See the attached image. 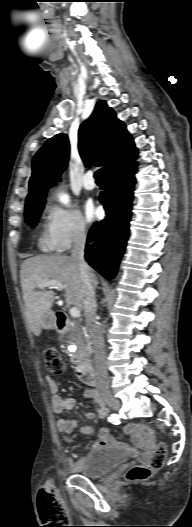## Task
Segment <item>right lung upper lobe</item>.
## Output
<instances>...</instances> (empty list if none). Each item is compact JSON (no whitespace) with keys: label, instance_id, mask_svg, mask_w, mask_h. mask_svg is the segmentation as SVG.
I'll return each instance as SVG.
<instances>
[{"label":"right lung upper lobe","instance_id":"right-lung-upper-lobe-1","mask_svg":"<svg viewBox=\"0 0 192 527\" xmlns=\"http://www.w3.org/2000/svg\"><path fill=\"white\" fill-rule=\"evenodd\" d=\"M78 149L85 165H103L106 173L135 149L131 135L105 101H99L92 115L80 126ZM65 134L50 138L32 161V175L26 206L45 201L46 190L60 179L69 159Z\"/></svg>","mask_w":192,"mask_h":527}]
</instances>
